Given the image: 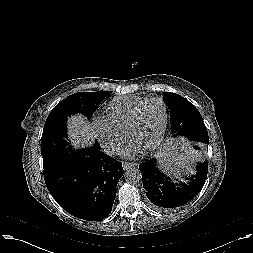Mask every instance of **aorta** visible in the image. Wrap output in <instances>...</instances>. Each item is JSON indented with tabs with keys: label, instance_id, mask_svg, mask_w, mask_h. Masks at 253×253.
Masks as SVG:
<instances>
[{
	"label": "aorta",
	"instance_id": "1",
	"mask_svg": "<svg viewBox=\"0 0 253 253\" xmlns=\"http://www.w3.org/2000/svg\"><path fill=\"white\" fill-rule=\"evenodd\" d=\"M125 180L129 184H137L142 180L141 171L138 168H129L124 174Z\"/></svg>",
	"mask_w": 253,
	"mask_h": 253
}]
</instances>
